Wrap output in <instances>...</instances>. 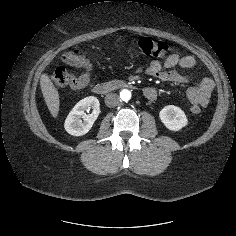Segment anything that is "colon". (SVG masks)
<instances>
[{"instance_id":"colon-1","label":"colon","mask_w":236,"mask_h":236,"mask_svg":"<svg viewBox=\"0 0 236 236\" xmlns=\"http://www.w3.org/2000/svg\"><path fill=\"white\" fill-rule=\"evenodd\" d=\"M138 49L145 55L153 57H164L169 54V47L166 43L148 37H142L136 42ZM62 60L72 66L81 68L80 74H72L64 68L54 70L50 76L54 86L58 88H81L85 86L90 78L91 62L86 54L80 50H73L63 54ZM191 112L198 114L201 107L193 105Z\"/></svg>"}]
</instances>
